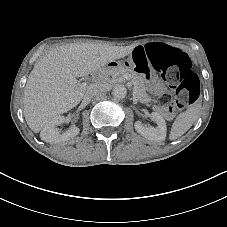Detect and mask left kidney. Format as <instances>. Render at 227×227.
<instances>
[{
  "label": "left kidney",
  "mask_w": 227,
  "mask_h": 227,
  "mask_svg": "<svg viewBox=\"0 0 227 227\" xmlns=\"http://www.w3.org/2000/svg\"><path fill=\"white\" fill-rule=\"evenodd\" d=\"M151 119L157 124V127L144 126L141 121H136L134 124L135 130L151 141H164L166 138L167 126L164 118L157 112L151 113Z\"/></svg>",
  "instance_id": "5707ae66"
}]
</instances>
